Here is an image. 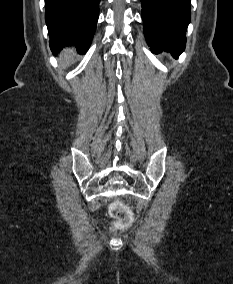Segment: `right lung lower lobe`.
Here are the masks:
<instances>
[{"label": "right lung lower lobe", "mask_w": 233, "mask_h": 284, "mask_svg": "<svg viewBox=\"0 0 233 284\" xmlns=\"http://www.w3.org/2000/svg\"><path fill=\"white\" fill-rule=\"evenodd\" d=\"M99 0H45V20L53 53L75 45L79 54L90 47L99 16Z\"/></svg>", "instance_id": "1"}]
</instances>
